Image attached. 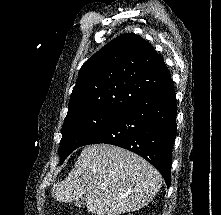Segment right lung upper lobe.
<instances>
[{"instance_id": "right-lung-upper-lobe-1", "label": "right lung upper lobe", "mask_w": 221, "mask_h": 215, "mask_svg": "<svg viewBox=\"0 0 221 215\" xmlns=\"http://www.w3.org/2000/svg\"><path fill=\"white\" fill-rule=\"evenodd\" d=\"M169 79L163 59L146 40L120 35L82 65L68 114L91 109L122 114Z\"/></svg>"}]
</instances>
